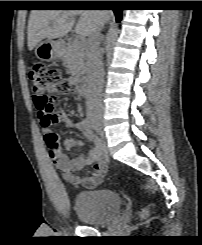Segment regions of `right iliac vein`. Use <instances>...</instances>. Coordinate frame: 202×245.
<instances>
[{
  "mask_svg": "<svg viewBox=\"0 0 202 245\" xmlns=\"http://www.w3.org/2000/svg\"><path fill=\"white\" fill-rule=\"evenodd\" d=\"M90 120L92 121V124L96 130H101V128H102V122L101 121H95L92 118H90Z\"/></svg>",
  "mask_w": 202,
  "mask_h": 245,
  "instance_id": "right-iliac-vein-1",
  "label": "right iliac vein"
}]
</instances>
